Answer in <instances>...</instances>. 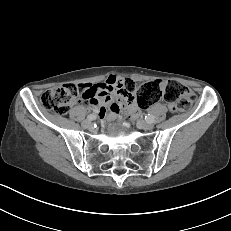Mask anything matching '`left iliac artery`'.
<instances>
[{
  "label": "left iliac artery",
  "instance_id": "left-iliac-artery-1",
  "mask_svg": "<svg viewBox=\"0 0 231 231\" xmlns=\"http://www.w3.org/2000/svg\"><path fill=\"white\" fill-rule=\"evenodd\" d=\"M145 120L147 121V122H153L154 121V117L152 116V115H150V114H148V115H146L145 116Z\"/></svg>",
  "mask_w": 231,
  "mask_h": 231
}]
</instances>
